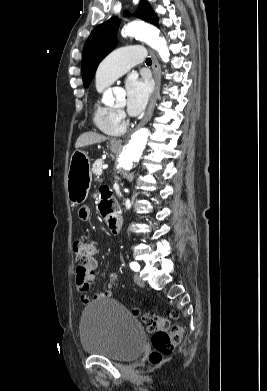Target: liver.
<instances>
[{"instance_id": "liver-1", "label": "liver", "mask_w": 267, "mask_h": 391, "mask_svg": "<svg viewBox=\"0 0 267 391\" xmlns=\"http://www.w3.org/2000/svg\"><path fill=\"white\" fill-rule=\"evenodd\" d=\"M106 140L107 137L104 135L95 132H85L78 137L75 143V147L79 148L88 145H93V144L104 142Z\"/></svg>"}]
</instances>
